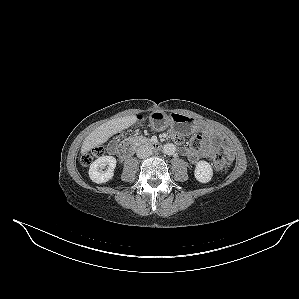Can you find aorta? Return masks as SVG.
<instances>
[{
    "instance_id": "1",
    "label": "aorta",
    "mask_w": 299,
    "mask_h": 299,
    "mask_svg": "<svg viewBox=\"0 0 299 299\" xmlns=\"http://www.w3.org/2000/svg\"><path fill=\"white\" fill-rule=\"evenodd\" d=\"M176 151V146L172 143H167L163 147V152L167 155H173Z\"/></svg>"
}]
</instances>
